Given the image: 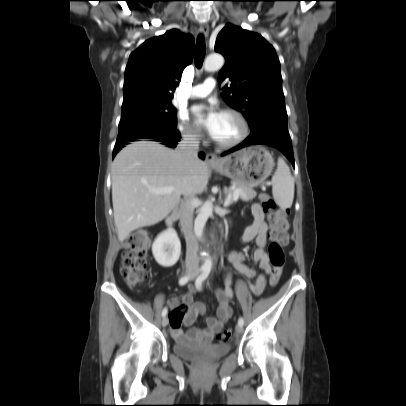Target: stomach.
<instances>
[{
	"label": "stomach",
	"instance_id": "0dacf381",
	"mask_svg": "<svg viewBox=\"0 0 406 406\" xmlns=\"http://www.w3.org/2000/svg\"><path fill=\"white\" fill-rule=\"evenodd\" d=\"M212 167L234 183L253 188L271 174L274 160L264 147L251 146L222 158L220 164Z\"/></svg>",
	"mask_w": 406,
	"mask_h": 406
}]
</instances>
